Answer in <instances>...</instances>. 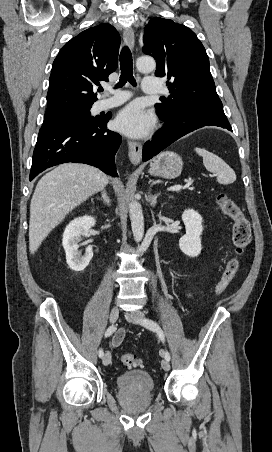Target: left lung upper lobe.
Returning a JSON list of instances; mask_svg holds the SVG:
<instances>
[{"label": "left lung upper lobe", "mask_w": 272, "mask_h": 452, "mask_svg": "<svg viewBox=\"0 0 272 452\" xmlns=\"http://www.w3.org/2000/svg\"><path fill=\"white\" fill-rule=\"evenodd\" d=\"M143 52L157 63L155 75L167 77L171 95L156 104L165 119L190 122L225 116L201 41L188 27L152 18L143 36Z\"/></svg>", "instance_id": "left-lung-upper-lobe-1"}]
</instances>
